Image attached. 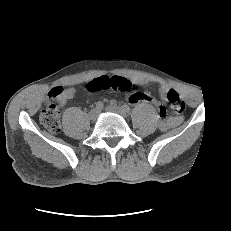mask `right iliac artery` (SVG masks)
<instances>
[{
    "instance_id": "obj_1",
    "label": "right iliac artery",
    "mask_w": 231,
    "mask_h": 231,
    "mask_svg": "<svg viewBox=\"0 0 231 231\" xmlns=\"http://www.w3.org/2000/svg\"><path fill=\"white\" fill-rule=\"evenodd\" d=\"M103 107H104V104L102 103V102H97L96 103V106H95V108L97 109V110H102L103 109Z\"/></svg>"
}]
</instances>
